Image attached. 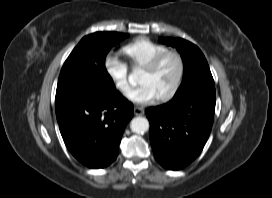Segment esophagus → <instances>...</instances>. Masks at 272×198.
<instances>
[{
	"label": "esophagus",
	"instance_id": "obj_1",
	"mask_svg": "<svg viewBox=\"0 0 272 198\" xmlns=\"http://www.w3.org/2000/svg\"><path fill=\"white\" fill-rule=\"evenodd\" d=\"M133 112L136 116H142L144 114V109L141 107H134Z\"/></svg>",
	"mask_w": 272,
	"mask_h": 198
}]
</instances>
